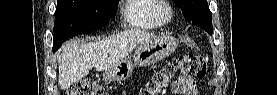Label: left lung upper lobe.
Returning <instances> with one entry per match:
<instances>
[{
	"mask_svg": "<svg viewBox=\"0 0 277 95\" xmlns=\"http://www.w3.org/2000/svg\"><path fill=\"white\" fill-rule=\"evenodd\" d=\"M181 7L183 15L191 19L193 24L212 34V16L207 0H173Z\"/></svg>",
	"mask_w": 277,
	"mask_h": 95,
	"instance_id": "left-lung-upper-lobe-1",
	"label": "left lung upper lobe"
}]
</instances>
